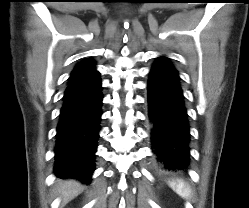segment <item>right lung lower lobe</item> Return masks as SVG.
<instances>
[{
	"label": "right lung lower lobe",
	"mask_w": 249,
	"mask_h": 208,
	"mask_svg": "<svg viewBox=\"0 0 249 208\" xmlns=\"http://www.w3.org/2000/svg\"><path fill=\"white\" fill-rule=\"evenodd\" d=\"M102 87L99 72L68 84L56 134L55 174L89 183L95 168Z\"/></svg>",
	"instance_id": "98d812e1"
}]
</instances>
